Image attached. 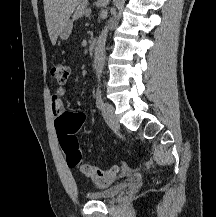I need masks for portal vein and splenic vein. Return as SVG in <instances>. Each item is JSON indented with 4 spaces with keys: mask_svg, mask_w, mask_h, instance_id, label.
I'll return each instance as SVG.
<instances>
[{
    "mask_svg": "<svg viewBox=\"0 0 216 217\" xmlns=\"http://www.w3.org/2000/svg\"><path fill=\"white\" fill-rule=\"evenodd\" d=\"M91 14V9L86 10V16H89Z\"/></svg>",
    "mask_w": 216,
    "mask_h": 217,
    "instance_id": "1",
    "label": "portal vein and splenic vein"
}]
</instances>
